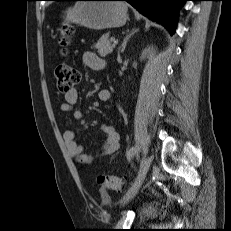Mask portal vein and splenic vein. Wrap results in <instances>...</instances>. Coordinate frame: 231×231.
Instances as JSON below:
<instances>
[{"mask_svg": "<svg viewBox=\"0 0 231 231\" xmlns=\"http://www.w3.org/2000/svg\"><path fill=\"white\" fill-rule=\"evenodd\" d=\"M110 41L114 42L115 44L117 43V40L115 39V37H111Z\"/></svg>", "mask_w": 231, "mask_h": 231, "instance_id": "1", "label": "portal vein and splenic vein"}]
</instances>
